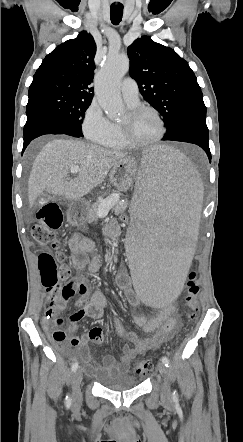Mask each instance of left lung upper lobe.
Listing matches in <instances>:
<instances>
[{"label":"left lung upper lobe","mask_w":243,"mask_h":442,"mask_svg":"<svg viewBox=\"0 0 243 442\" xmlns=\"http://www.w3.org/2000/svg\"><path fill=\"white\" fill-rule=\"evenodd\" d=\"M127 52L130 75L145 100L161 114L167 132L185 114L206 108L192 69L173 49L143 36Z\"/></svg>","instance_id":"1"}]
</instances>
